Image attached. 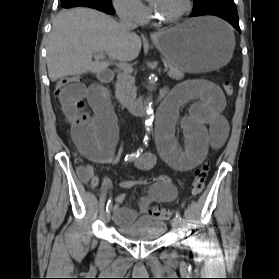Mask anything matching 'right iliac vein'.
Here are the masks:
<instances>
[{
  "instance_id": "right-iliac-vein-1",
  "label": "right iliac vein",
  "mask_w": 279,
  "mask_h": 279,
  "mask_svg": "<svg viewBox=\"0 0 279 279\" xmlns=\"http://www.w3.org/2000/svg\"><path fill=\"white\" fill-rule=\"evenodd\" d=\"M110 219H111V211L110 209H108L105 213V222L109 223Z\"/></svg>"
}]
</instances>
